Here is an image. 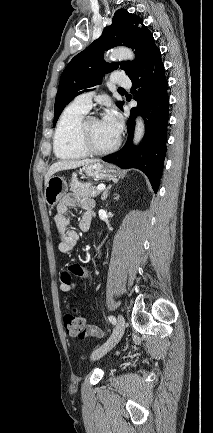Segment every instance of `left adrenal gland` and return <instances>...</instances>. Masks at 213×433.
Listing matches in <instances>:
<instances>
[{"label":"left adrenal gland","mask_w":213,"mask_h":433,"mask_svg":"<svg viewBox=\"0 0 213 433\" xmlns=\"http://www.w3.org/2000/svg\"><path fill=\"white\" fill-rule=\"evenodd\" d=\"M111 187L112 186H108L105 190H104V192H103V194H102V201H104V200H106L107 199V197H108V194H109V190L111 189Z\"/></svg>","instance_id":"1"}]
</instances>
